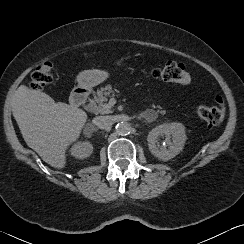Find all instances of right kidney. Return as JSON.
<instances>
[{"instance_id":"obj_1","label":"right kidney","mask_w":244,"mask_h":244,"mask_svg":"<svg viewBox=\"0 0 244 244\" xmlns=\"http://www.w3.org/2000/svg\"><path fill=\"white\" fill-rule=\"evenodd\" d=\"M93 152V146L88 141H79L71 147V155L78 159L89 157Z\"/></svg>"}]
</instances>
